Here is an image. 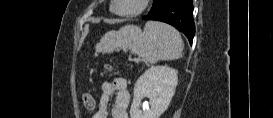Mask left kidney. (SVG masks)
Listing matches in <instances>:
<instances>
[{
    "mask_svg": "<svg viewBox=\"0 0 273 118\" xmlns=\"http://www.w3.org/2000/svg\"><path fill=\"white\" fill-rule=\"evenodd\" d=\"M178 84V71L167 66H153L141 75L134 86L131 118H159L167 110ZM147 97L151 108L140 109Z\"/></svg>",
    "mask_w": 273,
    "mask_h": 118,
    "instance_id": "1",
    "label": "left kidney"
}]
</instances>
